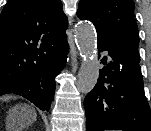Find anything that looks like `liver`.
Wrapping results in <instances>:
<instances>
[{"label": "liver", "instance_id": "liver-1", "mask_svg": "<svg viewBox=\"0 0 151 131\" xmlns=\"http://www.w3.org/2000/svg\"><path fill=\"white\" fill-rule=\"evenodd\" d=\"M32 121H35L36 120V113L33 111V115H32ZM30 122V121H29Z\"/></svg>", "mask_w": 151, "mask_h": 131}]
</instances>
